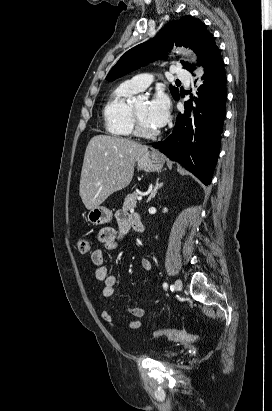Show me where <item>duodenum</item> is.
<instances>
[{"mask_svg":"<svg viewBox=\"0 0 272 411\" xmlns=\"http://www.w3.org/2000/svg\"><path fill=\"white\" fill-rule=\"evenodd\" d=\"M132 222H133L134 228L137 232L143 233L145 231V227H144L143 223L140 221L138 216H133L132 217Z\"/></svg>","mask_w":272,"mask_h":411,"instance_id":"1","label":"duodenum"}]
</instances>
